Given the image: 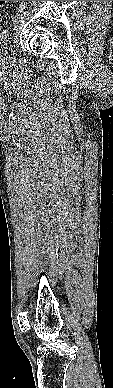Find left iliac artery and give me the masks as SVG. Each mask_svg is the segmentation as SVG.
Here are the masks:
<instances>
[{"label":"left iliac artery","mask_w":113,"mask_h":388,"mask_svg":"<svg viewBox=\"0 0 113 388\" xmlns=\"http://www.w3.org/2000/svg\"><path fill=\"white\" fill-rule=\"evenodd\" d=\"M7 42H8V29H5L0 34V51L2 52L7 48Z\"/></svg>","instance_id":"left-iliac-artery-1"}]
</instances>
